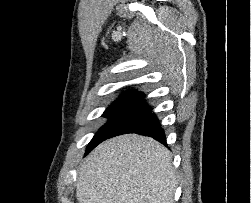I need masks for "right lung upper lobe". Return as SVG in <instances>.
<instances>
[{
	"mask_svg": "<svg viewBox=\"0 0 251 203\" xmlns=\"http://www.w3.org/2000/svg\"><path fill=\"white\" fill-rule=\"evenodd\" d=\"M111 107L137 108L144 112L150 110V107L144 102L143 93L135 90L122 94Z\"/></svg>",
	"mask_w": 251,
	"mask_h": 203,
	"instance_id": "right-lung-upper-lobe-1",
	"label": "right lung upper lobe"
}]
</instances>
